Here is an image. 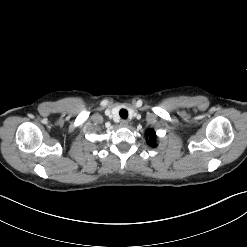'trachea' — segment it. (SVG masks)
Masks as SVG:
<instances>
[{"label":"trachea","mask_w":247,"mask_h":247,"mask_svg":"<svg viewBox=\"0 0 247 247\" xmlns=\"http://www.w3.org/2000/svg\"><path fill=\"white\" fill-rule=\"evenodd\" d=\"M119 114L122 119H127L128 117V111L126 109H121Z\"/></svg>","instance_id":"trachea-1"}]
</instances>
